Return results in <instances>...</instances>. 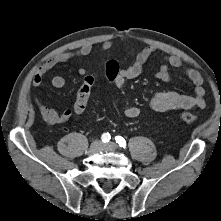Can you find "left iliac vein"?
I'll return each mask as SVG.
<instances>
[{"instance_id":"left-iliac-vein-1","label":"left iliac vein","mask_w":221,"mask_h":221,"mask_svg":"<svg viewBox=\"0 0 221 221\" xmlns=\"http://www.w3.org/2000/svg\"><path fill=\"white\" fill-rule=\"evenodd\" d=\"M103 149L115 151L118 148V145L115 142H109L102 145Z\"/></svg>"}]
</instances>
